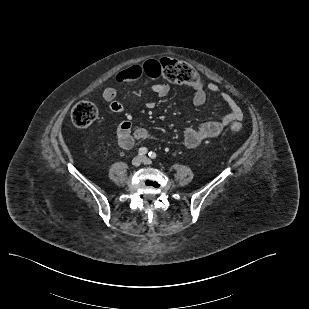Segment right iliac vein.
<instances>
[{
  "mask_svg": "<svg viewBox=\"0 0 309 309\" xmlns=\"http://www.w3.org/2000/svg\"><path fill=\"white\" fill-rule=\"evenodd\" d=\"M142 162V157L141 156H136L132 159V165L135 167H138Z\"/></svg>",
  "mask_w": 309,
  "mask_h": 309,
  "instance_id": "right-iliac-vein-1",
  "label": "right iliac vein"
}]
</instances>
